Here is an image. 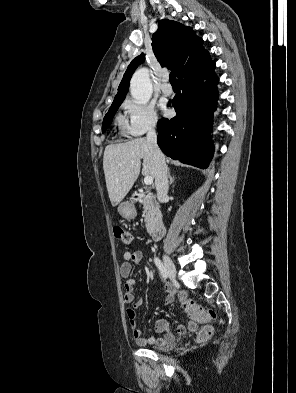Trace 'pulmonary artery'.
<instances>
[{
    "instance_id": "pulmonary-artery-1",
    "label": "pulmonary artery",
    "mask_w": 296,
    "mask_h": 393,
    "mask_svg": "<svg viewBox=\"0 0 296 393\" xmlns=\"http://www.w3.org/2000/svg\"><path fill=\"white\" fill-rule=\"evenodd\" d=\"M161 91L164 95H170L173 92L172 86L169 84V77L165 75L161 84Z\"/></svg>"
}]
</instances>
